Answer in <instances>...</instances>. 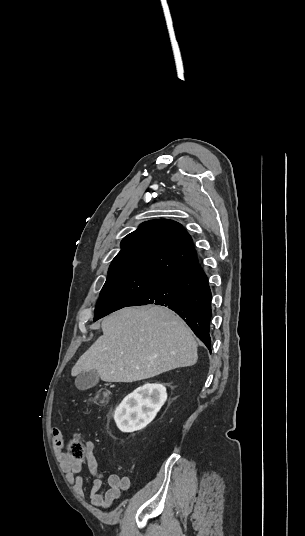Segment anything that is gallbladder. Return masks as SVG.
<instances>
[{
  "instance_id": "bac80fb5",
  "label": "gallbladder",
  "mask_w": 305,
  "mask_h": 536,
  "mask_svg": "<svg viewBox=\"0 0 305 536\" xmlns=\"http://www.w3.org/2000/svg\"><path fill=\"white\" fill-rule=\"evenodd\" d=\"M100 380L97 370H89V372H81L75 380V386L78 390H88L96 386Z\"/></svg>"
}]
</instances>
